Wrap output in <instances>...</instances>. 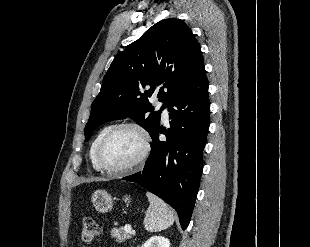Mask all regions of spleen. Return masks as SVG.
I'll use <instances>...</instances> for the list:
<instances>
[{
  "mask_svg": "<svg viewBox=\"0 0 310 247\" xmlns=\"http://www.w3.org/2000/svg\"><path fill=\"white\" fill-rule=\"evenodd\" d=\"M146 196L150 206L144 219L145 230L159 232L170 227L174 222V216L167 204L150 192H147Z\"/></svg>",
  "mask_w": 310,
  "mask_h": 247,
  "instance_id": "1",
  "label": "spleen"
}]
</instances>
